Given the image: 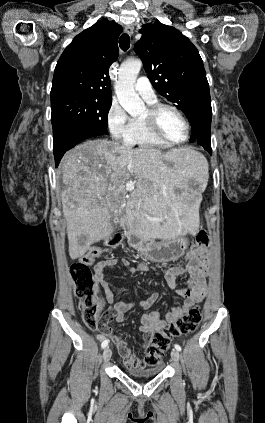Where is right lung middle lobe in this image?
I'll return each instance as SVG.
<instances>
[{
    "label": "right lung middle lobe",
    "mask_w": 265,
    "mask_h": 423,
    "mask_svg": "<svg viewBox=\"0 0 265 423\" xmlns=\"http://www.w3.org/2000/svg\"><path fill=\"white\" fill-rule=\"evenodd\" d=\"M112 99L83 95H63L51 98L53 130L67 123L86 126L107 134L108 112Z\"/></svg>",
    "instance_id": "1"
}]
</instances>
